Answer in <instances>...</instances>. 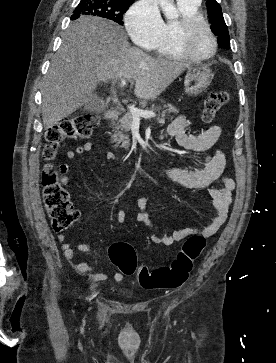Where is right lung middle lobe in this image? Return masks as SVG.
Masks as SVG:
<instances>
[{
    "mask_svg": "<svg viewBox=\"0 0 276 363\" xmlns=\"http://www.w3.org/2000/svg\"><path fill=\"white\" fill-rule=\"evenodd\" d=\"M131 3L118 0H81L71 19L89 15L110 19L122 25L123 14L128 10Z\"/></svg>",
    "mask_w": 276,
    "mask_h": 363,
    "instance_id": "1",
    "label": "right lung middle lobe"
}]
</instances>
